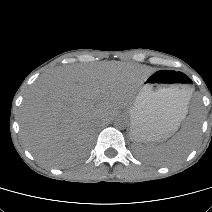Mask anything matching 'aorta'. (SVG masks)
<instances>
[{
	"label": "aorta",
	"instance_id": "aorta-1",
	"mask_svg": "<svg viewBox=\"0 0 212 212\" xmlns=\"http://www.w3.org/2000/svg\"><path fill=\"white\" fill-rule=\"evenodd\" d=\"M127 125L128 120L123 116H119L114 120V126L118 129H124L127 127Z\"/></svg>",
	"mask_w": 212,
	"mask_h": 212
}]
</instances>
